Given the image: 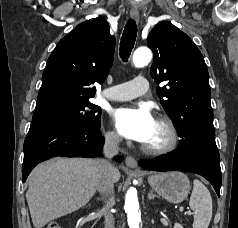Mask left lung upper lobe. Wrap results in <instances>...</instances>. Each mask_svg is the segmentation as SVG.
Instances as JSON below:
<instances>
[{
    "label": "left lung upper lobe",
    "instance_id": "obj_1",
    "mask_svg": "<svg viewBox=\"0 0 238 228\" xmlns=\"http://www.w3.org/2000/svg\"><path fill=\"white\" fill-rule=\"evenodd\" d=\"M148 47L154 60L150 74L160 102L173 120L181 138L179 151L190 153L201 142L215 139L208 70L203 55L193 41L163 21L149 33Z\"/></svg>",
    "mask_w": 238,
    "mask_h": 228
}]
</instances>
